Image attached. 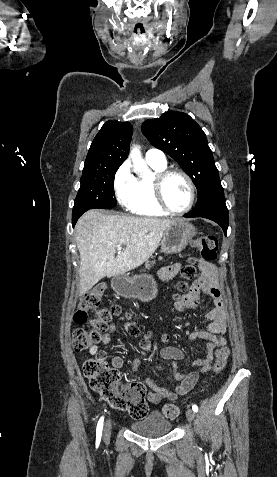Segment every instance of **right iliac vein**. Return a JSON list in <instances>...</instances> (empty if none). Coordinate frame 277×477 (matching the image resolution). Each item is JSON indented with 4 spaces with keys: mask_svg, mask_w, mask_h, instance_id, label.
I'll list each match as a JSON object with an SVG mask.
<instances>
[{
    "mask_svg": "<svg viewBox=\"0 0 277 477\" xmlns=\"http://www.w3.org/2000/svg\"><path fill=\"white\" fill-rule=\"evenodd\" d=\"M110 434H111V422L107 421L104 426V434H103L104 440H108L110 438Z\"/></svg>",
    "mask_w": 277,
    "mask_h": 477,
    "instance_id": "right-iliac-vein-1",
    "label": "right iliac vein"
}]
</instances>
